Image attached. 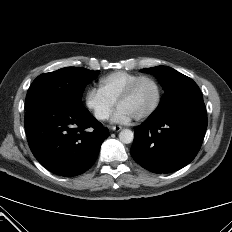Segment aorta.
Instances as JSON below:
<instances>
[{
	"label": "aorta",
	"mask_w": 232,
	"mask_h": 232,
	"mask_svg": "<svg viewBox=\"0 0 232 232\" xmlns=\"http://www.w3.org/2000/svg\"><path fill=\"white\" fill-rule=\"evenodd\" d=\"M134 134L130 129H123L119 133V140L124 144H129L133 141Z\"/></svg>",
	"instance_id": "obj_1"
}]
</instances>
